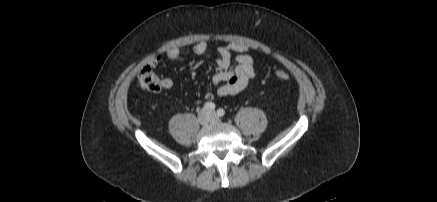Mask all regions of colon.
Here are the masks:
<instances>
[{"label":"colon","instance_id":"obj_1","mask_svg":"<svg viewBox=\"0 0 437 202\" xmlns=\"http://www.w3.org/2000/svg\"><path fill=\"white\" fill-rule=\"evenodd\" d=\"M275 76L282 81L290 78V75L283 70H277ZM138 82L141 88L151 92H158L163 87V81L150 65L142 67L138 74Z\"/></svg>","mask_w":437,"mask_h":202}]
</instances>
